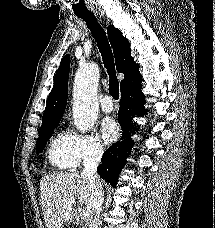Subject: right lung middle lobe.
<instances>
[{
  "mask_svg": "<svg viewBox=\"0 0 215 228\" xmlns=\"http://www.w3.org/2000/svg\"><path fill=\"white\" fill-rule=\"evenodd\" d=\"M59 122L44 124L40 128L39 137L36 142V153H41L43 148L46 145V142L50 139L51 135L54 132V129L57 127Z\"/></svg>",
  "mask_w": 215,
  "mask_h": 228,
  "instance_id": "dd1d6c3e",
  "label": "right lung middle lobe"
}]
</instances>
